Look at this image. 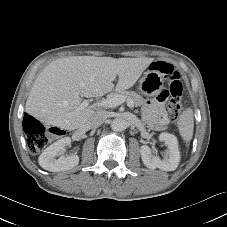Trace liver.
<instances>
[{
  "label": "liver",
  "instance_id": "1",
  "mask_svg": "<svg viewBox=\"0 0 227 227\" xmlns=\"http://www.w3.org/2000/svg\"><path fill=\"white\" fill-rule=\"evenodd\" d=\"M154 58H112L72 56L53 61L37 76L25 110L48 125L65 130L82 127L95 113L91 108L77 111L81 99L103 96L131 88ZM118 76L115 85L113 81Z\"/></svg>",
  "mask_w": 227,
  "mask_h": 227
}]
</instances>
